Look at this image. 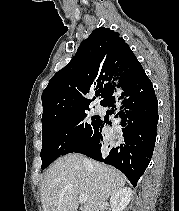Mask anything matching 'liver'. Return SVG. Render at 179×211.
Listing matches in <instances>:
<instances>
[{
	"label": "liver",
	"mask_w": 179,
	"mask_h": 211,
	"mask_svg": "<svg viewBox=\"0 0 179 211\" xmlns=\"http://www.w3.org/2000/svg\"><path fill=\"white\" fill-rule=\"evenodd\" d=\"M126 183L123 174L79 154L57 159L41 184L43 211H77L79 195L87 196L81 211H99Z\"/></svg>",
	"instance_id": "obj_1"
}]
</instances>
